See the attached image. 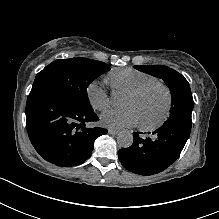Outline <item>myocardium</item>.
I'll return each instance as SVG.
<instances>
[{
  "instance_id": "myocardium-1",
  "label": "myocardium",
  "mask_w": 219,
  "mask_h": 219,
  "mask_svg": "<svg viewBox=\"0 0 219 219\" xmlns=\"http://www.w3.org/2000/svg\"><path fill=\"white\" fill-rule=\"evenodd\" d=\"M152 88H162L165 91L166 97H167L166 109H165V113H164L162 119L159 122L155 123V124L147 125V124H144L142 122H139L140 128L143 131L158 130L159 128H161L167 122V120L169 119L170 114H171V109H172V104H173V95H172L171 89L165 83H162V82H159V81L158 82L147 83V84H145V85L129 92L128 96L136 97V96H139V95L145 93L146 91H148Z\"/></svg>"
}]
</instances>
